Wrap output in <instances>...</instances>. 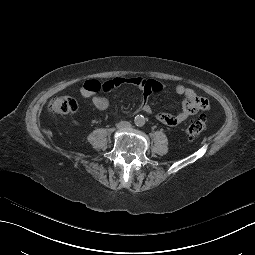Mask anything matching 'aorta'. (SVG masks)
Returning a JSON list of instances; mask_svg holds the SVG:
<instances>
[{
	"label": "aorta",
	"instance_id": "1",
	"mask_svg": "<svg viewBox=\"0 0 255 255\" xmlns=\"http://www.w3.org/2000/svg\"><path fill=\"white\" fill-rule=\"evenodd\" d=\"M134 122L137 126H142L145 123V118L142 115H136L134 118Z\"/></svg>",
	"mask_w": 255,
	"mask_h": 255
}]
</instances>
